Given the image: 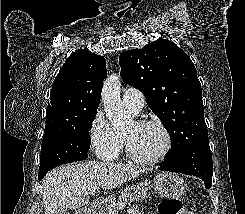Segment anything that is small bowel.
I'll use <instances>...</instances> for the list:
<instances>
[{"instance_id": "c3829d8e", "label": "small bowel", "mask_w": 245, "mask_h": 214, "mask_svg": "<svg viewBox=\"0 0 245 214\" xmlns=\"http://www.w3.org/2000/svg\"><path fill=\"white\" fill-rule=\"evenodd\" d=\"M129 214H142V211L139 207L134 206L130 209Z\"/></svg>"}]
</instances>
